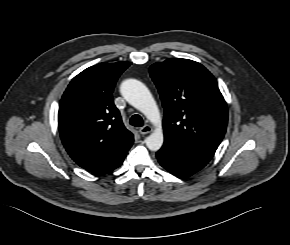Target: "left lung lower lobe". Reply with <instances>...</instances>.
Wrapping results in <instances>:
<instances>
[{
  "mask_svg": "<svg viewBox=\"0 0 290 245\" xmlns=\"http://www.w3.org/2000/svg\"><path fill=\"white\" fill-rule=\"evenodd\" d=\"M162 167L178 177H189L202 169L210 158L164 143L156 153Z\"/></svg>",
  "mask_w": 290,
  "mask_h": 245,
  "instance_id": "left-lung-lower-lobe-1",
  "label": "left lung lower lobe"
}]
</instances>
